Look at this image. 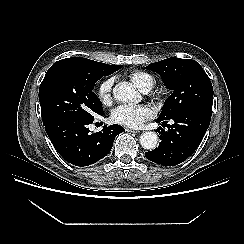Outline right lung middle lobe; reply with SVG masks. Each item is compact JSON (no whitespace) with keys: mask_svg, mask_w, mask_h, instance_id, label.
<instances>
[{"mask_svg":"<svg viewBox=\"0 0 244 244\" xmlns=\"http://www.w3.org/2000/svg\"><path fill=\"white\" fill-rule=\"evenodd\" d=\"M121 67L114 65L110 71L89 74L67 65H52L39 88L43 124L59 118L93 119L103 115L101 102L93 92L94 84Z\"/></svg>","mask_w":244,"mask_h":244,"instance_id":"1","label":"right lung middle lobe"}]
</instances>
